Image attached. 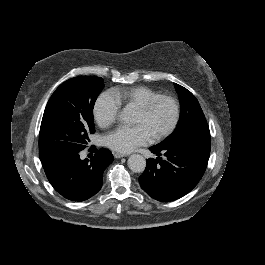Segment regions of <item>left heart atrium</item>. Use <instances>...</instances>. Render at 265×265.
I'll use <instances>...</instances> for the list:
<instances>
[{"label":"left heart atrium","instance_id":"1","mask_svg":"<svg viewBox=\"0 0 265 265\" xmlns=\"http://www.w3.org/2000/svg\"><path fill=\"white\" fill-rule=\"evenodd\" d=\"M152 138L145 126L139 124L134 127L116 128L105 136V142L114 151L128 153L147 144Z\"/></svg>","mask_w":265,"mask_h":265}]
</instances>
